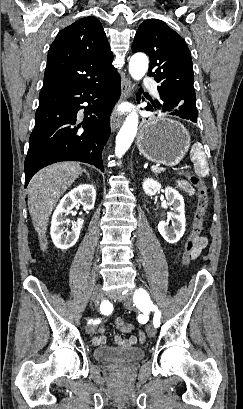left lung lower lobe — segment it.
<instances>
[{
  "instance_id": "obj_1",
  "label": "left lung lower lobe",
  "mask_w": 243,
  "mask_h": 409,
  "mask_svg": "<svg viewBox=\"0 0 243 409\" xmlns=\"http://www.w3.org/2000/svg\"><path fill=\"white\" fill-rule=\"evenodd\" d=\"M146 109L149 111L169 112L171 115L197 122L198 112L196 105L191 101L182 100L173 95L160 94V101L150 100Z\"/></svg>"
}]
</instances>
